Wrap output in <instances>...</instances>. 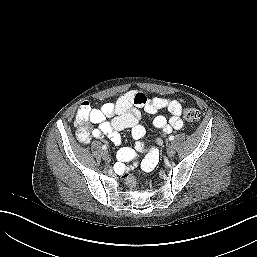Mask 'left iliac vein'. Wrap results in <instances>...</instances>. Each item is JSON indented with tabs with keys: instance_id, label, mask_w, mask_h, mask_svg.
I'll use <instances>...</instances> for the list:
<instances>
[{
	"instance_id": "obj_1",
	"label": "left iliac vein",
	"mask_w": 257,
	"mask_h": 257,
	"mask_svg": "<svg viewBox=\"0 0 257 257\" xmlns=\"http://www.w3.org/2000/svg\"><path fill=\"white\" fill-rule=\"evenodd\" d=\"M174 154H175V148L172 145L168 146V148H167V155L169 157H173Z\"/></svg>"
}]
</instances>
